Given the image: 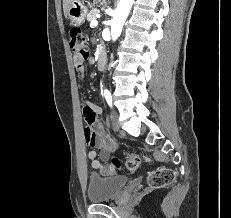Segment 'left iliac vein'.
<instances>
[{"instance_id":"left-iliac-vein-1","label":"left iliac vein","mask_w":231,"mask_h":218,"mask_svg":"<svg viewBox=\"0 0 231 218\" xmlns=\"http://www.w3.org/2000/svg\"><path fill=\"white\" fill-rule=\"evenodd\" d=\"M111 120H112V124H113V128L115 131H118L120 128V123L119 121L116 119L114 113L111 114Z\"/></svg>"}]
</instances>
